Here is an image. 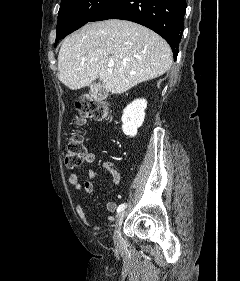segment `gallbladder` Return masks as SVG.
<instances>
[{
	"mask_svg": "<svg viewBox=\"0 0 240 281\" xmlns=\"http://www.w3.org/2000/svg\"><path fill=\"white\" fill-rule=\"evenodd\" d=\"M97 94L98 98L103 99L105 97V89L104 88H100L98 90H95L94 88H92V94Z\"/></svg>",
	"mask_w": 240,
	"mask_h": 281,
	"instance_id": "obj_1",
	"label": "gallbladder"
}]
</instances>
